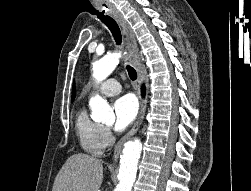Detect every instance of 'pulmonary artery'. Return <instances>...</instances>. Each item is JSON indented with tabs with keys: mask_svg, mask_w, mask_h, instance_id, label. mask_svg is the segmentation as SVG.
<instances>
[{
	"mask_svg": "<svg viewBox=\"0 0 251 191\" xmlns=\"http://www.w3.org/2000/svg\"><path fill=\"white\" fill-rule=\"evenodd\" d=\"M95 88L100 93L107 96H114L121 92V84L114 78H105L99 82Z\"/></svg>",
	"mask_w": 251,
	"mask_h": 191,
	"instance_id": "pulmonary-artery-1",
	"label": "pulmonary artery"
}]
</instances>
